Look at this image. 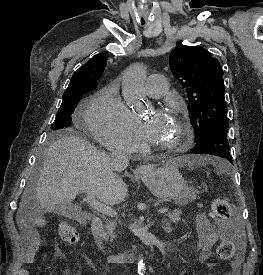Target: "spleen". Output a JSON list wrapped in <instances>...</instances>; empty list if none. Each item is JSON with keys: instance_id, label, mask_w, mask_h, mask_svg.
<instances>
[{"instance_id": "spleen-1", "label": "spleen", "mask_w": 263, "mask_h": 275, "mask_svg": "<svg viewBox=\"0 0 263 275\" xmlns=\"http://www.w3.org/2000/svg\"><path fill=\"white\" fill-rule=\"evenodd\" d=\"M199 164H204L203 161H199ZM214 166L216 167V171L219 174H224L228 172L230 165L224 161H216L213 162Z\"/></svg>"}]
</instances>
